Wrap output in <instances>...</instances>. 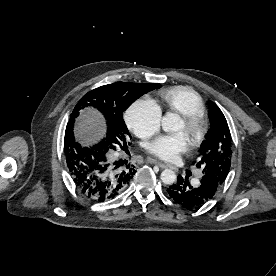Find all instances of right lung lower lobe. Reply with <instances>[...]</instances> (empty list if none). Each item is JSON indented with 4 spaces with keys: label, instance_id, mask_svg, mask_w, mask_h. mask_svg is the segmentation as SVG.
<instances>
[{
    "label": "right lung lower lobe",
    "instance_id": "98d812e1",
    "mask_svg": "<svg viewBox=\"0 0 276 276\" xmlns=\"http://www.w3.org/2000/svg\"><path fill=\"white\" fill-rule=\"evenodd\" d=\"M64 151L76 188L92 201L104 202L115 198L136 173L130 165L120 167L118 161L111 164L109 153L102 149L100 143L90 147L81 146L75 141L73 125L69 122L65 132Z\"/></svg>",
    "mask_w": 276,
    "mask_h": 276
}]
</instances>
